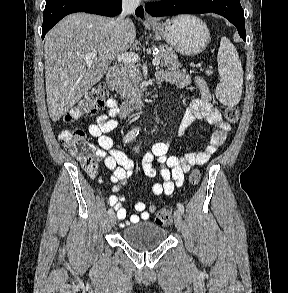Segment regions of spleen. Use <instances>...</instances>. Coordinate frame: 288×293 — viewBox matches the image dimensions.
<instances>
[{
  "instance_id": "spleen-1",
  "label": "spleen",
  "mask_w": 288,
  "mask_h": 293,
  "mask_svg": "<svg viewBox=\"0 0 288 293\" xmlns=\"http://www.w3.org/2000/svg\"><path fill=\"white\" fill-rule=\"evenodd\" d=\"M217 61L221 81L216 87V97L222 104L234 106L242 94L243 69L236 48L226 37L221 38Z\"/></svg>"
}]
</instances>
